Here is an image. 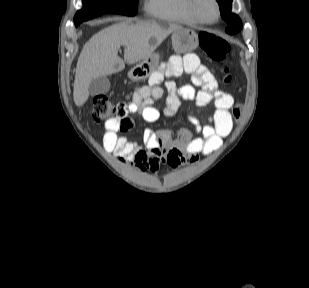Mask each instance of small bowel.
Masks as SVG:
<instances>
[{
    "label": "small bowel",
    "mask_w": 309,
    "mask_h": 288,
    "mask_svg": "<svg viewBox=\"0 0 309 288\" xmlns=\"http://www.w3.org/2000/svg\"><path fill=\"white\" fill-rule=\"evenodd\" d=\"M182 72L191 75L192 85L177 87L173 81H167L166 104L159 111L153 104L163 96L160 84L162 76L152 77L149 85L134 90L130 100L120 103L127 114L138 113L147 123L156 122L161 114L166 117L176 115L180 107V100L195 101L199 107L214 105V112L208 123L199 125L190 116L200 135L193 137L188 129L182 128L174 139L167 131L146 129L143 133L142 144L130 141L126 136H119L118 132L127 131L133 126L129 119H110L105 122L103 145L109 152H114L124 161L133 164L143 173L157 172L162 164L173 170H178L186 162L195 163L200 155L206 156L217 151L233 128L231 110L234 98L218 89L217 81L212 72L194 53L184 56L173 55L165 65L168 76H177Z\"/></svg>",
    "instance_id": "small-bowel-1"
}]
</instances>
